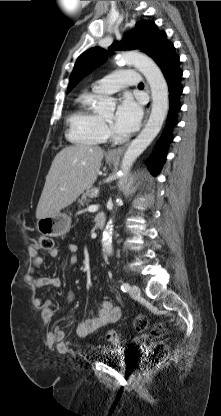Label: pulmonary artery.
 I'll return each mask as SVG.
<instances>
[{"label": "pulmonary artery", "mask_w": 221, "mask_h": 416, "mask_svg": "<svg viewBox=\"0 0 221 416\" xmlns=\"http://www.w3.org/2000/svg\"><path fill=\"white\" fill-rule=\"evenodd\" d=\"M140 74L134 69H120L101 79L93 86V92L98 95L112 94L128 85H138Z\"/></svg>", "instance_id": "e3ab8cb5"}]
</instances>
